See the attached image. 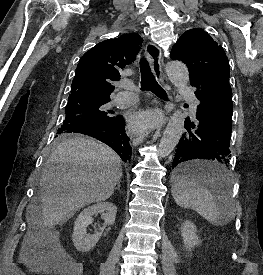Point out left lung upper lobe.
<instances>
[{"mask_svg":"<svg viewBox=\"0 0 263 275\" xmlns=\"http://www.w3.org/2000/svg\"><path fill=\"white\" fill-rule=\"evenodd\" d=\"M171 58L184 62L189 77L200 84L229 79V62L217 42L204 30H187L172 49Z\"/></svg>","mask_w":263,"mask_h":275,"instance_id":"left-lung-upper-lobe-1","label":"left lung upper lobe"}]
</instances>
